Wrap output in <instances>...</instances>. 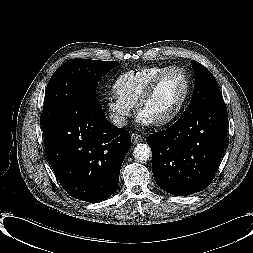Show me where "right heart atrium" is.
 Listing matches in <instances>:
<instances>
[{"label": "right heart atrium", "mask_w": 253, "mask_h": 253, "mask_svg": "<svg viewBox=\"0 0 253 253\" xmlns=\"http://www.w3.org/2000/svg\"><path fill=\"white\" fill-rule=\"evenodd\" d=\"M107 109L118 124H124L132 114L133 106L118 96H111L107 99Z\"/></svg>", "instance_id": "right-heart-atrium-1"}]
</instances>
